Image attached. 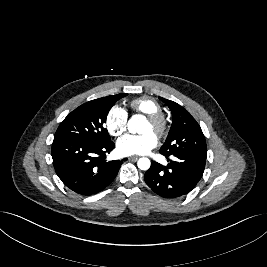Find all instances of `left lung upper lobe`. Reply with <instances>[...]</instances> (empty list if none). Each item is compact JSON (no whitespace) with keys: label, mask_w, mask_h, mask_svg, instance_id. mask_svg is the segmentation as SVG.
<instances>
[{"label":"left lung upper lobe","mask_w":267,"mask_h":267,"mask_svg":"<svg viewBox=\"0 0 267 267\" xmlns=\"http://www.w3.org/2000/svg\"><path fill=\"white\" fill-rule=\"evenodd\" d=\"M171 110L173 121L165 143L160 148L163 155L186 154L206 159L204 134L196 120L182 106L159 97Z\"/></svg>","instance_id":"obj_1"}]
</instances>
